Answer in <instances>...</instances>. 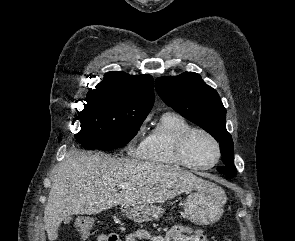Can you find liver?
<instances>
[{"instance_id":"1","label":"liver","mask_w":295,"mask_h":241,"mask_svg":"<svg viewBox=\"0 0 295 241\" xmlns=\"http://www.w3.org/2000/svg\"><path fill=\"white\" fill-rule=\"evenodd\" d=\"M208 182L173 166L70 151L58 164L44 210L49 241L72 215L97 214L120 204H154L202 188ZM128 187L119 192V185Z\"/></svg>"}]
</instances>
